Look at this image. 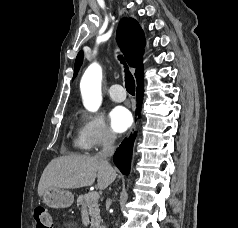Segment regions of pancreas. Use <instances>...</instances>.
Here are the masks:
<instances>
[{
	"instance_id": "pancreas-1",
	"label": "pancreas",
	"mask_w": 238,
	"mask_h": 228,
	"mask_svg": "<svg viewBox=\"0 0 238 228\" xmlns=\"http://www.w3.org/2000/svg\"><path fill=\"white\" fill-rule=\"evenodd\" d=\"M89 194L79 195L77 197V206L83 209H88L91 216V228H101V217L98 200H92Z\"/></svg>"
}]
</instances>
